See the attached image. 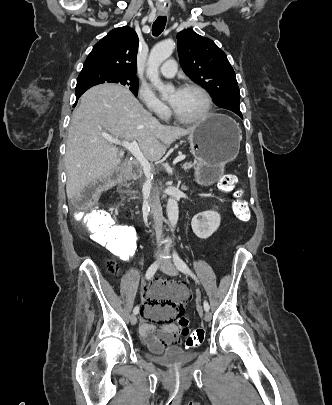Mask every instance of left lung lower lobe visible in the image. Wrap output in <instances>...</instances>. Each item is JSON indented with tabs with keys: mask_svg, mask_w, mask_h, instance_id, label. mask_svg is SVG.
Wrapping results in <instances>:
<instances>
[{
	"mask_svg": "<svg viewBox=\"0 0 332 405\" xmlns=\"http://www.w3.org/2000/svg\"><path fill=\"white\" fill-rule=\"evenodd\" d=\"M233 112L236 113V114H237L238 116H240L241 118H243V117H242V113H241L240 108H239V104L235 106Z\"/></svg>",
	"mask_w": 332,
	"mask_h": 405,
	"instance_id": "1",
	"label": "left lung lower lobe"
}]
</instances>
